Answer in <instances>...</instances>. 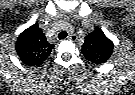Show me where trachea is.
Returning a JSON list of instances; mask_svg holds the SVG:
<instances>
[{"mask_svg": "<svg viewBox=\"0 0 135 95\" xmlns=\"http://www.w3.org/2000/svg\"><path fill=\"white\" fill-rule=\"evenodd\" d=\"M67 32L65 31H61L59 34H58V38L59 39H65L67 37Z\"/></svg>", "mask_w": 135, "mask_h": 95, "instance_id": "trachea-1", "label": "trachea"}]
</instances>
